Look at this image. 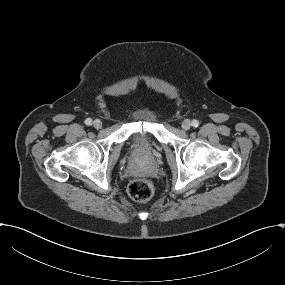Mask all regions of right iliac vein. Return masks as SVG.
<instances>
[{"label":"right iliac vein","mask_w":285,"mask_h":285,"mask_svg":"<svg viewBox=\"0 0 285 285\" xmlns=\"http://www.w3.org/2000/svg\"><path fill=\"white\" fill-rule=\"evenodd\" d=\"M93 126L96 129H100L102 127V122L99 119H96V120L93 121Z\"/></svg>","instance_id":"obj_1"}]
</instances>
